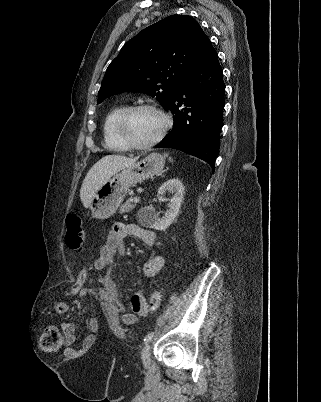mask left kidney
<instances>
[{
    "label": "left kidney",
    "instance_id": "5707ae66",
    "mask_svg": "<svg viewBox=\"0 0 321 402\" xmlns=\"http://www.w3.org/2000/svg\"><path fill=\"white\" fill-rule=\"evenodd\" d=\"M166 191L171 192L173 196L170 198L169 209L166 211L163 218H159L152 207H144L139 211V220L146 226L156 230H165L173 223L178 215L184 194L182 182L176 178L167 180L158 189V194L164 195Z\"/></svg>",
    "mask_w": 321,
    "mask_h": 402
}]
</instances>
